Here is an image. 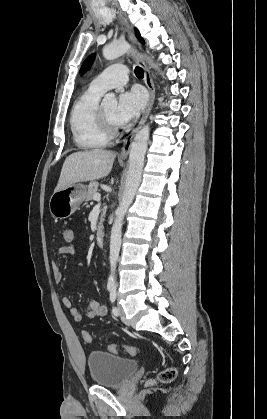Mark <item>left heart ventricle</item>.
Here are the masks:
<instances>
[{
	"label": "left heart ventricle",
	"instance_id": "1",
	"mask_svg": "<svg viewBox=\"0 0 267 419\" xmlns=\"http://www.w3.org/2000/svg\"><path fill=\"white\" fill-rule=\"evenodd\" d=\"M116 108H117V104L115 102L109 103L103 106V109L108 119L115 125H117L115 121Z\"/></svg>",
	"mask_w": 267,
	"mask_h": 419
}]
</instances>
